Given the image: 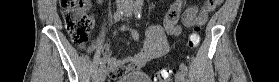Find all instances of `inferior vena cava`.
Masks as SVG:
<instances>
[{
  "mask_svg": "<svg viewBox=\"0 0 279 82\" xmlns=\"http://www.w3.org/2000/svg\"><path fill=\"white\" fill-rule=\"evenodd\" d=\"M124 2L125 6L128 7V10H130L132 6V0H124Z\"/></svg>",
  "mask_w": 279,
  "mask_h": 82,
  "instance_id": "obj_1",
  "label": "inferior vena cava"
}]
</instances>
